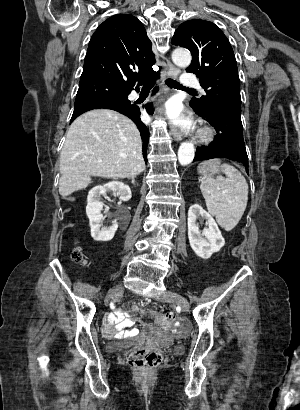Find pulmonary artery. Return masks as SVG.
<instances>
[{"label":"pulmonary artery","mask_w":300,"mask_h":410,"mask_svg":"<svg viewBox=\"0 0 300 410\" xmlns=\"http://www.w3.org/2000/svg\"><path fill=\"white\" fill-rule=\"evenodd\" d=\"M182 84L185 87L200 88L198 78L196 76L192 75V74H185L182 77ZM133 97L137 98V95L134 94Z\"/></svg>","instance_id":"pulmonary-artery-1"}]
</instances>
